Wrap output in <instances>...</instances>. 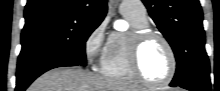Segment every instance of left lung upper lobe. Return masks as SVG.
Returning a JSON list of instances; mask_svg holds the SVG:
<instances>
[{
	"instance_id": "left-lung-upper-lobe-1",
	"label": "left lung upper lobe",
	"mask_w": 220,
	"mask_h": 91,
	"mask_svg": "<svg viewBox=\"0 0 220 91\" xmlns=\"http://www.w3.org/2000/svg\"><path fill=\"white\" fill-rule=\"evenodd\" d=\"M142 1L174 51L177 69L171 84L209 79L210 65L204 47L203 14L199 0Z\"/></svg>"
}]
</instances>
